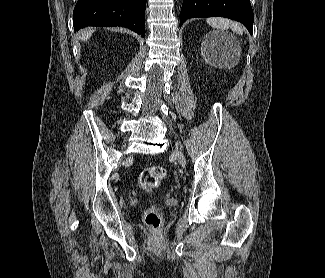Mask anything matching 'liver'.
Instances as JSON below:
<instances>
[{
	"mask_svg": "<svg viewBox=\"0 0 325 278\" xmlns=\"http://www.w3.org/2000/svg\"><path fill=\"white\" fill-rule=\"evenodd\" d=\"M94 30L93 29H84L82 32H81V35H80V39L82 41H86L88 40L91 35L93 34Z\"/></svg>",
	"mask_w": 325,
	"mask_h": 278,
	"instance_id": "6515ba94",
	"label": "liver"
}]
</instances>
